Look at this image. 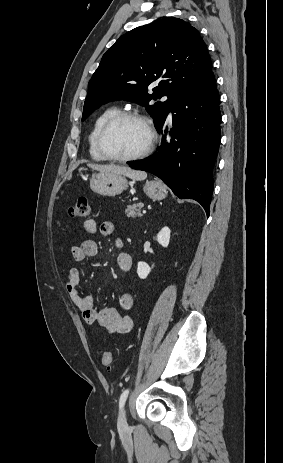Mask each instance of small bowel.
I'll use <instances>...</instances> for the list:
<instances>
[{"instance_id": "1", "label": "small bowel", "mask_w": 283, "mask_h": 463, "mask_svg": "<svg viewBox=\"0 0 283 463\" xmlns=\"http://www.w3.org/2000/svg\"><path fill=\"white\" fill-rule=\"evenodd\" d=\"M84 229L89 234L100 233L103 236L114 235L116 231L112 222L106 221L98 226L96 221L92 219L84 223ZM115 245L119 249L117 264L120 270L126 273L131 268V257L123 251L124 243L121 238L115 239ZM97 251L96 242L85 240L80 245L71 248V255L76 262L82 263L88 258L94 257ZM80 281V271L77 268L69 269L66 290L72 302L81 312L84 321L88 325L105 328L110 333H128L133 327L132 318L127 314L134 306L133 295L131 293L123 294L119 299L118 307L98 310L94 307L91 297L80 291Z\"/></svg>"}]
</instances>
